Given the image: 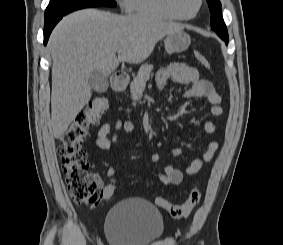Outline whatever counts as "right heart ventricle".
I'll return each instance as SVG.
<instances>
[{"label": "right heart ventricle", "instance_id": "e07e8e85", "mask_svg": "<svg viewBox=\"0 0 283 245\" xmlns=\"http://www.w3.org/2000/svg\"><path fill=\"white\" fill-rule=\"evenodd\" d=\"M124 8L129 14L167 20L176 19L167 10L164 0H126Z\"/></svg>", "mask_w": 283, "mask_h": 245}]
</instances>
